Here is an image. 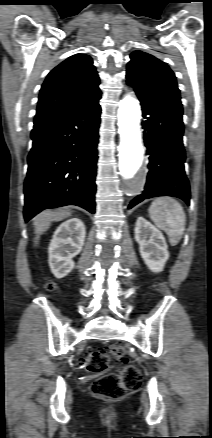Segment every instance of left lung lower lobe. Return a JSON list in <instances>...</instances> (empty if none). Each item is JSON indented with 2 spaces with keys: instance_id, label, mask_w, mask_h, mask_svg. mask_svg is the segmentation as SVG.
Here are the masks:
<instances>
[{
  "instance_id": "obj_1",
  "label": "left lung lower lobe",
  "mask_w": 212,
  "mask_h": 438,
  "mask_svg": "<svg viewBox=\"0 0 212 438\" xmlns=\"http://www.w3.org/2000/svg\"><path fill=\"white\" fill-rule=\"evenodd\" d=\"M136 92V91H135ZM144 120V142L149 155V172L143 193L129 209L144 199L175 196L190 203V186L184 170L182 106L136 92Z\"/></svg>"
}]
</instances>
